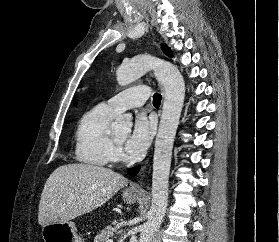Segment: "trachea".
I'll return each mask as SVG.
<instances>
[{"instance_id": "obj_1", "label": "trachea", "mask_w": 279, "mask_h": 242, "mask_svg": "<svg viewBox=\"0 0 279 242\" xmlns=\"http://www.w3.org/2000/svg\"><path fill=\"white\" fill-rule=\"evenodd\" d=\"M161 99H162L161 95L158 93H155L153 96V105L159 106L161 104Z\"/></svg>"}]
</instances>
